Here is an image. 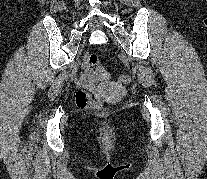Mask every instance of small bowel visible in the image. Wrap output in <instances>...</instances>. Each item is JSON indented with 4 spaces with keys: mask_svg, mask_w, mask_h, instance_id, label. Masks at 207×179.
Wrapping results in <instances>:
<instances>
[{
    "mask_svg": "<svg viewBox=\"0 0 207 179\" xmlns=\"http://www.w3.org/2000/svg\"><path fill=\"white\" fill-rule=\"evenodd\" d=\"M101 80L98 78L97 72L93 71L89 65L85 62L83 64V71L81 76L77 80L78 84L82 87H91L94 88L97 83Z\"/></svg>",
    "mask_w": 207,
    "mask_h": 179,
    "instance_id": "obj_1",
    "label": "small bowel"
}]
</instances>
